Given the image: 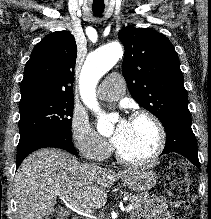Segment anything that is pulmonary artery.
<instances>
[{
    "label": "pulmonary artery",
    "instance_id": "e3ab8cb5",
    "mask_svg": "<svg viewBox=\"0 0 211 219\" xmlns=\"http://www.w3.org/2000/svg\"><path fill=\"white\" fill-rule=\"evenodd\" d=\"M99 97L103 100H117L124 95L125 83L121 74L112 73L103 80Z\"/></svg>",
    "mask_w": 211,
    "mask_h": 219
}]
</instances>
